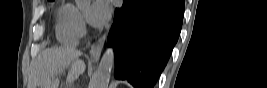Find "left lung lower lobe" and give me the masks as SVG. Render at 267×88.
<instances>
[{"mask_svg":"<svg viewBox=\"0 0 267 88\" xmlns=\"http://www.w3.org/2000/svg\"><path fill=\"white\" fill-rule=\"evenodd\" d=\"M183 14V0H124L108 36L115 77L153 88L178 40Z\"/></svg>","mask_w":267,"mask_h":88,"instance_id":"left-lung-lower-lobe-1","label":"left lung lower lobe"}]
</instances>
